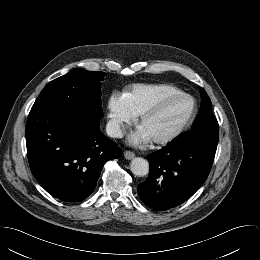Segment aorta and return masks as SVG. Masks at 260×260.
I'll return each instance as SVG.
<instances>
[{
    "instance_id": "obj_1",
    "label": "aorta",
    "mask_w": 260,
    "mask_h": 260,
    "mask_svg": "<svg viewBox=\"0 0 260 260\" xmlns=\"http://www.w3.org/2000/svg\"><path fill=\"white\" fill-rule=\"evenodd\" d=\"M130 170L134 175L143 177L149 172V163L144 158L136 157L130 163Z\"/></svg>"
}]
</instances>
